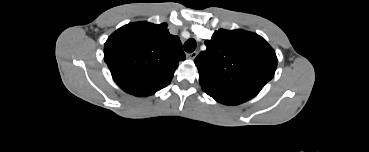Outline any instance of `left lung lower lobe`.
I'll list each match as a JSON object with an SVG mask.
<instances>
[{"mask_svg": "<svg viewBox=\"0 0 369 152\" xmlns=\"http://www.w3.org/2000/svg\"><path fill=\"white\" fill-rule=\"evenodd\" d=\"M207 94L210 95L212 98H214L217 102L226 104V105H238L243 102H246V100L235 97V96H228V95L216 94V93H207Z\"/></svg>", "mask_w": 369, "mask_h": 152, "instance_id": "obj_1", "label": "left lung lower lobe"}]
</instances>
